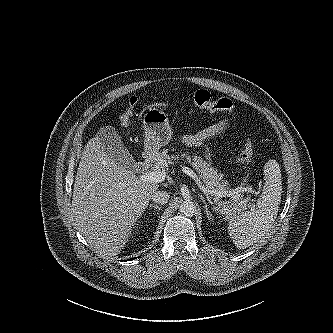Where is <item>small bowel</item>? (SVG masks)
Instances as JSON below:
<instances>
[{
  "mask_svg": "<svg viewBox=\"0 0 333 333\" xmlns=\"http://www.w3.org/2000/svg\"><path fill=\"white\" fill-rule=\"evenodd\" d=\"M231 123L228 119H223L214 125L204 128L194 134L183 133L180 135V140L183 144L189 147H200L211 139L229 131Z\"/></svg>",
  "mask_w": 333,
  "mask_h": 333,
  "instance_id": "small-bowel-1",
  "label": "small bowel"
}]
</instances>
